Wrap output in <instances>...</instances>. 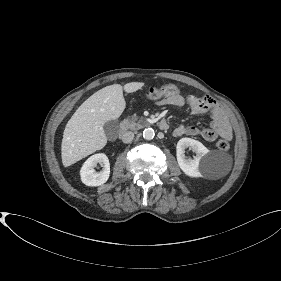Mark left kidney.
Instances as JSON below:
<instances>
[{"label":"left kidney","instance_id":"1","mask_svg":"<svg viewBox=\"0 0 281 281\" xmlns=\"http://www.w3.org/2000/svg\"><path fill=\"white\" fill-rule=\"evenodd\" d=\"M188 147L196 153L193 159H186L185 157V149ZM176 151L177 161L181 170L190 177H201L205 156L209 150L197 140L182 138L177 143Z\"/></svg>","mask_w":281,"mask_h":281}]
</instances>
